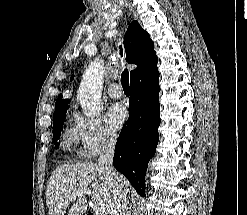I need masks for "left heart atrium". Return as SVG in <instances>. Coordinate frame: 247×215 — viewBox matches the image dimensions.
Returning <instances> with one entry per match:
<instances>
[{
  "instance_id": "left-heart-atrium-1",
  "label": "left heart atrium",
  "mask_w": 247,
  "mask_h": 215,
  "mask_svg": "<svg viewBox=\"0 0 247 215\" xmlns=\"http://www.w3.org/2000/svg\"><path fill=\"white\" fill-rule=\"evenodd\" d=\"M127 118V110L122 104L113 105L107 114V122L114 129H119Z\"/></svg>"
}]
</instances>
